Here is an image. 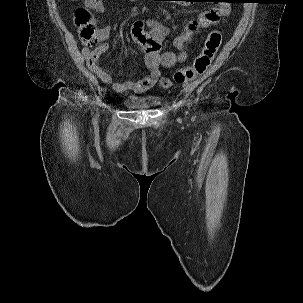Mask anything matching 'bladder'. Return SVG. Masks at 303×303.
I'll use <instances>...</instances> for the list:
<instances>
[{
	"label": "bladder",
	"instance_id": "obj_1",
	"mask_svg": "<svg viewBox=\"0 0 303 303\" xmlns=\"http://www.w3.org/2000/svg\"><path fill=\"white\" fill-rule=\"evenodd\" d=\"M160 103V97L154 95L130 94L123 100V105L127 110H147L158 106Z\"/></svg>",
	"mask_w": 303,
	"mask_h": 303
}]
</instances>
